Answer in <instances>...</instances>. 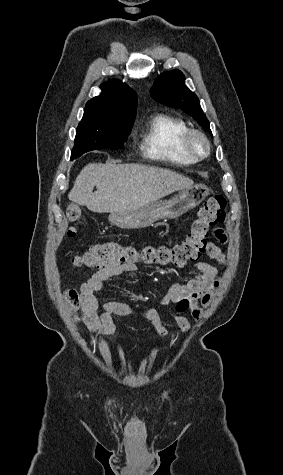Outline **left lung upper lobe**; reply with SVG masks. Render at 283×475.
<instances>
[{"label": "left lung upper lobe", "instance_id": "1", "mask_svg": "<svg viewBox=\"0 0 283 475\" xmlns=\"http://www.w3.org/2000/svg\"><path fill=\"white\" fill-rule=\"evenodd\" d=\"M184 81L185 77L179 70L165 72L156 78L151 97L159 103L182 109L212 134L198 97L188 89Z\"/></svg>", "mask_w": 283, "mask_h": 475}]
</instances>
